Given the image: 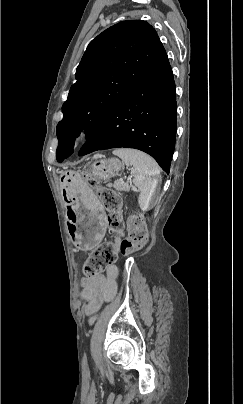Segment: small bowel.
Returning <instances> with one entry per match:
<instances>
[{"instance_id": "c3829d8e", "label": "small bowel", "mask_w": 243, "mask_h": 404, "mask_svg": "<svg viewBox=\"0 0 243 404\" xmlns=\"http://www.w3.org/2000/svg\"><path fill=\"white\" fill-rule=\"evenodd\" d=\"M117 275V267L111 264L106 268V275L99 274L83 281L84 297L87 300V313L89 315L94 314L104 301L115 296Z\"/></svg>"}]
</instances>
